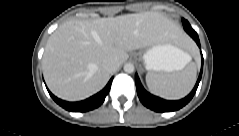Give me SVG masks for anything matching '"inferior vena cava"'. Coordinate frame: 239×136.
Listing matches in <instances>:
<instances>
[{
    "label": "inferior vena cava",
    "mask_w": 239,
    "mask_h": 136,
    "mask_svg": "<svg viewBox=\"0 0 239 136\" xmlns=\"http://www.w3.org/2000/svg\"><path fill=\"white\" fill-rule=\"evenodd\" d=\"M102 66L104 69H106L110 72H114L119 68V63H118V61H116L114 59H107L103 62Z\"/></svg>",
    "instance_id": "1"
}]
</instances>
